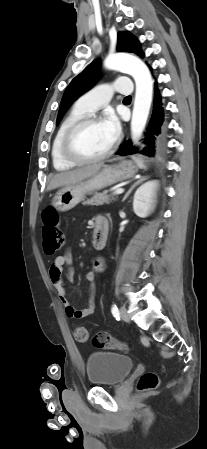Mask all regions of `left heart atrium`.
Returning <instances> with one entry per match:
<instances>
[{"mask_svg": "<svg viewBox=\"0 0 207 449\" xmlns=\"http://www.w3.org/2000/svg\"><path fill=\"white\" fill-rule=\"evenodd\" d=\"M102 125L112 143L115 142L120 134V123L118 118L113 113H109L102 121Z\"/></svg>", "mask_w": 207, "mask_h": 449, "instance_id": "39dd6f15", "label": "left heart atrium"}]
</instances>
